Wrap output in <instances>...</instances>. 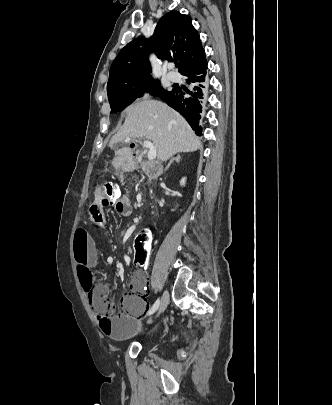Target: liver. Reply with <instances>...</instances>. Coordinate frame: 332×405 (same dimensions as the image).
Listing matches in <instances>:
<instances>
[{"label": "liver", "instance_id": "6515ba94", "mask_svg": "<svg viewBox=\"0 0 332 405\" xmlns=\"http://www.w3.org/2000/svg\"><path fill=\"white\" fill-rule=\"evenodd\" d=\"M126 113L125 123L112 137L109 147L126 138H144L153 142L160 161H166L178 152H194L202 148L199 138L186 120L160 101L137 102L128 107ZM131 153L130 147L116 152L119 159Z\"/></svg>", "mask_w": 332, "mask_h": 405}]
</instances>
